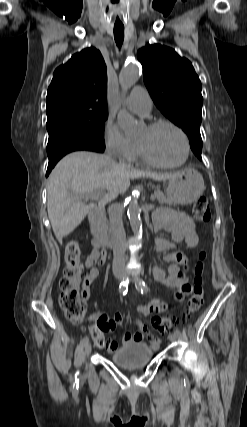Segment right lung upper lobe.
Returning a JSON list of instances; mask_svg holds the SVG:
<instances>
[{"label": "right lung upper lobe", "instance_id": "obj_1", "mask_svg": "<svg viewBox=\"0 0 247 427\" xmlns=\"http://www.w3.org/2000/svg\"><path fill=\"white\" fill-rule=\"evenodd\" d=\"M106 91L107 70L100 51L84 49L54 71L46 112L66 107H107Z\"/></svg>", "mask_w": 247, "mask_h": 427}]
</instances>
